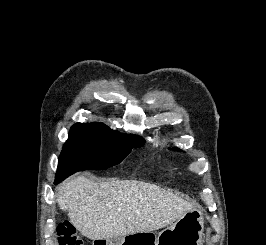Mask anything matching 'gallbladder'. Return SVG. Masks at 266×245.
I'll return each instance as SVG.
<instances>
[{"label":"gallbladder","mask_w":266,"mask_h":245,"mask_svg":"<svg viewBox=\"0 0 266 245\" xmlns=\"http://www.w3.org/2000/svg\"><path fill=\"white\" fill-rule=\"evenodd\" d=\"M119 239H121V237H117L115 243H118Z\"/></svg>","instance_id":"gallbladder-1"}]
</instances>
